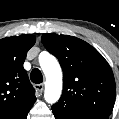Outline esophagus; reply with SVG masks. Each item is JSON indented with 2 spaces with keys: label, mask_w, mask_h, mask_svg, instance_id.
Returning a JSON list of instances; mask_svg holds the SVG:
<instances>
[{
  "label": "esophagus",
  "mask_w": 119,
  "mask_h": 119,
  "mask_svg": "<svg viewBox=\"0 0 119 119\" xmlns=\"http://www.w3.org/2000/svg\"><path fill=\"white\" fill-rule=\"evenodd\" d=\"M34 87L39 94H41L44 90L43 84H35Z\"/></svg>",
  "instance_id": "esophagus-1"
}]
</instances>
